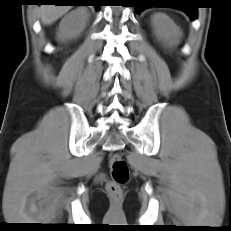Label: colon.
Here are the masks:
<instances>
[{"instance_id": "obj_1", "label": "colon", "mask_w": 231, "mask_h": 231, "mask_svg": "<svg viewBox=\"0 0 231 231\" xmlns=\"http://www.w3.org/2000/svg\"><path fill=\"white\" fill-rule=\"evenodd\" d=\"M109 166L111 180L107 184L108 193L118 198L122 193V186L129 180V167L127 162L117 154H113L109 158Z\"/></svg>"}]
</instances>
